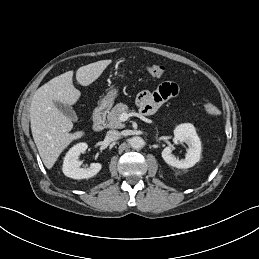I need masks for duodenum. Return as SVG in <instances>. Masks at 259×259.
Masks as SVG:
<instances>
[{"instance_id": "1", "label": "duodenum", "mask_w": 259, "mask_h": 259, "mask_svg": "<svg viewBox=\"0 0 259 259\" xmlns=\"http://www.w3.org/2000/svg\"><path fill=\"white\" fill-rule=\"evenodd\" d=\"M108 111V106L105 104L96 107L93 113V129L95 131H101L105 125V117Z\"/></svg>"}]
</instances>
